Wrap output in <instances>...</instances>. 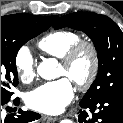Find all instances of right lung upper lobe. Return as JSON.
Listing matches in <instances>:
<instances>
[{"label": "right lung upper lobe", "instance_id": "cb5924a9", "mask_svg": "<svg viewBox=\"0 0 123 123\" xmlns=\"http://www.w3.org/2000/svg\"><path fill=\"white\" fill-rule=\"evenodd\" d=\"M58 19V16H36L31 14H13L1 17V24L10 21H26L33 22L38 20H44L50 24V26Z\"/></svg>", "mask_w": 123, "mask_h": 123}]
</instances>
